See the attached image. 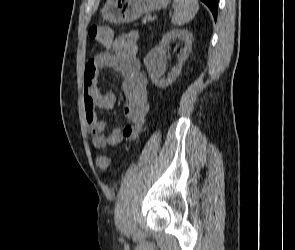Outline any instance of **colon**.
<instances>
[{"mask_svg":"<svg viewBox=\"0 0 295 250\" xmlns=\"http://www.w3.org/2000/svg\"><path fill=\"white\" fill-rule=\"evenodd\" d=\"M113 29L107 25H93L89 29V37L101 46H110L113 42ZM109 160L105 155H98L97 165L105 169L108 167Z\"/></svg>","mask_w":295,"mask_h":250,"instance_id":"5ec220e1","label":"colon"}]
</instances>
